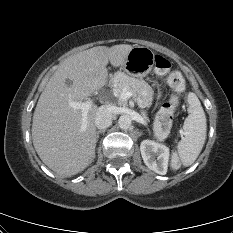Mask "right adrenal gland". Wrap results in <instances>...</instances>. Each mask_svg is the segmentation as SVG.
Wrapping results in <instances>:
<instances>
[{"label":"right adrenal gland","instance_id":"2a0ac1e0","mask_svg":"<svg viewBox=\"0 0 233 233\" xmlns=\"http://www.w3.org/2000/svg\"><path fill=\"white\" fill-rule=\"evenodd\" d=\"M100 133H105V130H99V131L96 132V138H97V140L99 139V134Z\"/></svg>","mask_w":233,"mask_h":233}]
</instances>
